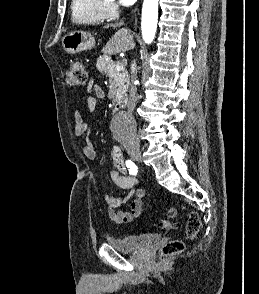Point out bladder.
Listing matches in <instances>:
<instances>
[{
  "instance_id": "bladder-1",
  "label": "bladder",
  "mask_w": 259,
  "mask_h": 294,
  "mask_svg": "<svg viewBox=\"0 0 259 294\" xmlns=\"http://www.w3.org/2000/svg\"><path fill=\"white\" fill-rule=\"evenodd\" d=\"M160 239L158 233L126 234L112 237L108 244L124 253L137 252Z\"/></svg>"
}]
</instances>
